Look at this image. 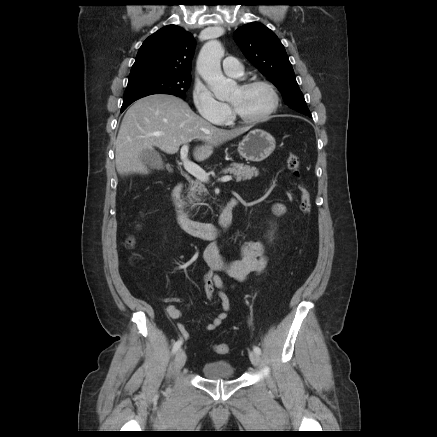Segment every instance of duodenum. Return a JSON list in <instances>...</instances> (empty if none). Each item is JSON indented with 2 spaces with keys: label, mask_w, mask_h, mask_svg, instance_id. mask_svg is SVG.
<instances>
[{
  "label": "duodenum",
  "mask_w": 437,
  "mask_h": 437,
  "mask_svg": "<svg viewBox=\"0 0 437 437\" xmlns=\"http://www.w3.org/2000/svg\"><path fill=\"white\" fill-rule=\"evenodd\" d=\"M182 190L183 183L180 182L172 191V200L178 224L183 230L195 237L214 239L230 227L232 222V211L238 203V200L235 197L231 198L226 203L220 213L218 225H214L212 223L194 220L188 215L182 200Z\"/></svg>",
  "instance_id": "410a0bca"
}]
</instances>
